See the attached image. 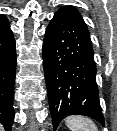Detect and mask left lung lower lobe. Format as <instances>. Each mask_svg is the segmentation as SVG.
I'll use <instances>...</instances> for the list:
<instances>
[{"label": "left lung lower lobe", "mask_w": 117, "mask_h": 131, "mask_svg": "<svg viewBox=\"0 0 117 131\" xmlns=\"http://www.w3.org/2000/svg\"><path fill=\"white\" fill-rule=\"evenodd\" d=\"M43 65L55 128L69 115L88 116L104 125L90 34L74 7L60 8L50 21L43 41Z\"/></svg>", "instance_id": "left-lung-lower-lobe-1"}]
</instances>
